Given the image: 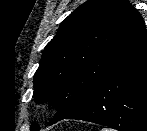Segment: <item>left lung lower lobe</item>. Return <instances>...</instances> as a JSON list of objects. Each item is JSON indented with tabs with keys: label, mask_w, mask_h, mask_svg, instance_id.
Here are the masks:
<instances>
[{
	"label": "left lung lower lobe",
	"mask_w": 147,
	"mask_h": 131,
	"mask_svg": "<svg viewBox=\"0 0 147 131\" xmlns=\"http://www.w3.org/2000/svg\"><path fill=\"white\" fill-rule=\"evenodd\" d=\"M65 119L118 131H147V43L119 63L83 106Z\"/></svg>",
	"instance_id": "left-lung-lower-lobe-1"
}]
</instances>
